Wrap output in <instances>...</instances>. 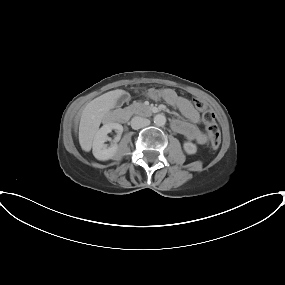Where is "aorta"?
Listing matches in <instances>:
<instances>
[{"label":"aorta","instance_id":"1","mask_svg":"<svg viewBox=\"0 0 285 285\" xmlns=\"http://www.w3.org/2000/svg\"><path fill=\"white\" fill-rule=\"evenodd\" d=\"M166 123V117L164 114H157L154 116V124L156 126H164Z\"/></svg>","mask_w":285,"mask_h":285}]
</instances>
